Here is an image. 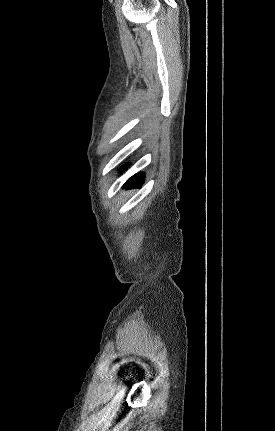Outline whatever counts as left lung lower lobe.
I'll list each match as a JSON object with an SVG mask.
<instances>
[{
    "label": "left lung lower lobe",
    "instance_id": "obj_1",
    "mask_svg": "<svg viewBox=\"0 0 275 431\" xmlns=\"http://www.w3.org/2000/svg\"><path fill=\"white\" fill-rule=\"evenodd\" d=\"M143 182H144V176H143V174L142 173H138V174L132 176L130 179H128L126 181V183L124 184V187L126 189L140 187L141 184H143Z\"/></svg>",
    "mask_w": 275,
    "mask_h": 431
}]
</instances>
